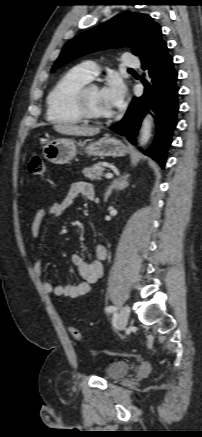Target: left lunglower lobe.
Listing matches in <instances>:
<instances>
[{
    "instance_id": "1",
    "label": "left lung lower lobe",
    "mask_w": 202,
    "mask_h": 437,
    "mask_svg": "<svg viewBox=\"0 0 202 437\" xmlns=\"http://www.w3.org/2000/svg\"><path fill=\"white\" fill-rule=\"evenodd\" d=\"M147 73L142 77L144 93L133 98L125 116L110 129L135 144L140 123L145 114L155 113L156 136L153 144L145 152L149 157L165 166L167 149L172 141V133L177 125L179 111L177 76L173 58L164 43L147 60L142 61Z\"/></svg>"
}]
</instances>
